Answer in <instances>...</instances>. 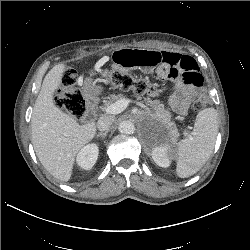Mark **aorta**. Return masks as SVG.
I'll return each instance as SVG.
<instances>
[{"label":"aorta","mask_w":250,"mask_h":250,"mask_svg":"<svg viewBox=\"0 0 250 250\" xmlns=\"http://www.w3.org/2000/svg\"><path fill=\"white\" fill-rule=\"evenodd\" d=\"M118 130L122 134H133L135 131V126L133 122L129 120H124L120 122Z\"/></svg>","instance_id":"aorta-1"}]
</instances>
